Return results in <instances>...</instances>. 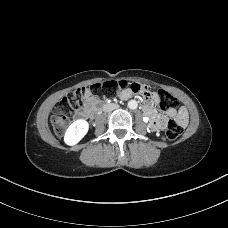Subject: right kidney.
I'll return each instance as SVG.
<instances>
[{
    "label": "right kidney",
    "mask_w": 228,
    "mask_h": 228,
    "mask_svg": "<svg viewBox=\"0 0 228 228\" xmlns=\"http://www.w3.org/2000/svg\"><path fill=\"white\" fill-rule=\"evenodd\" d=\"M89 124L84 119L74 121L66 130L64 142L73 146L76 145L88 132Z\"/></svg>",
    "instance_id": "1"
}]
</instances>
